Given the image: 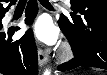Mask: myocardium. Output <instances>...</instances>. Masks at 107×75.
<instances>
[{"label": "myocardium", "instance_id": "obj_1", "mask_svg": "<svg viewBox=\"0 0 107 75\" xmlns=\"http://www.w3.org/2000/svg\"><path fill=\"white\" fill-rule=\"evenodd\" d=\"M60 55L63 59L71 58L73 55L72 47L68 43H65L62 47Z\"/></svg>", "mask_w": 107, "mask_h": 75}]
</instances>
